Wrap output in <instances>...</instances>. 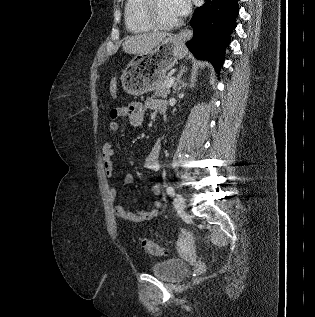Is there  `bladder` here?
<instances>
[{"instance_id":"bladder-1","label":"bladder","mask_w":315,"mask_h":317,"mask_svg":"<svg viewBox=\"0 0 315 317\" xmlns=\"http://www.w3.org/2000/svg\"><path fill=\"white\" fill-rule=\"evenodd\" d=\"M151 272L156 277L165 281H177L187 272V264L179 258H171L155 262L151 266Z\"/></svg>"}]
</instances>
